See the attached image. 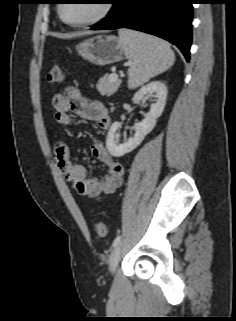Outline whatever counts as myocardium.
Instances as JSON below:
<instances>
[{"instance_id": "obj_1", "label": "myocardium", "mask_w": 236, "mask_h": 321, "mask_svg": "<svg viewBox=\"0 0 236 321\" xmlns=\"http://www.w3.org/2000/svg\"><path fill=\"white\" fill-rule=\"evenodd\" d=\"M101 3L102 4H101L100 11L94 17H92L90 19H86V20H82V21H68V20H66L63 16V13H62V9H63L65 3H60L58 5V7H57L58 16L63 23H65L66 25L72 26V27H83V26L93 25L95 23H98L102 19L106 18L112 10L113 5L110 0H103Z\"/></svg>"}]
</instances>
